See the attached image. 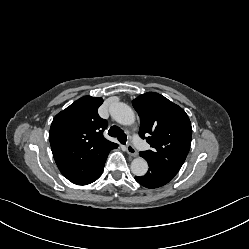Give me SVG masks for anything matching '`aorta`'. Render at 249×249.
I'll return each mask as SVG.
<instances>
[{
    "label": "aorta",
    "mask_w": 249,
    "mask_h": 249,
    "mask_svg": "<svg viewBox=\"0 0 249 249\" xmlns=\"http://www.w3.org/2000/svg\"><path fill=\"white\" fill-rule=\"evenodd\" d=\"M113 119L122 125H132L135 122V114L130 106L125 103H117L111 110ZM131 171L136 176H144L148 171V163L142 157H137L131 162Z\"/></svg>",
    "instance_id": "aorta-1"
}]
</instances>
